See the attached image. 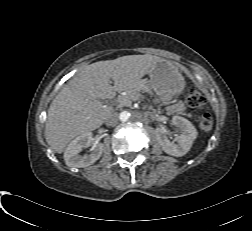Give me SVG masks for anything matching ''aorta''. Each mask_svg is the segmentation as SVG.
Listing matches in <instances>:
<instances>
[{
	"label": "aorta",
	"mask_w": 252,
	"mask_h": 231,
	"mask_svg": "<svg viewBox=\"0 0 252 231\" xmlns=\"http://www.w3.org/2000/svg\"><path fill=\"white\" fill-rule=\"evenodd\" d=\"M119 118H120V120H121L122 122H126V121H128L129 118H130V113H129L128 111H123V112L120 113Z\"/></svg>",
	"instance_id": "1"
}]
</instances>
